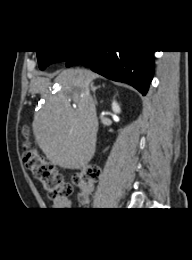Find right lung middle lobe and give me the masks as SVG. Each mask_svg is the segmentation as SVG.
I'll return each mask as SVG.
<instances>
[{
  "mask_svg": "<svg viewBox=\"0 0 192 260\" xmlns=\"http://www.w3.org/2000/svg\"><path fill=\"white\" fill-rule=\"evenodd\" d=\"M39 67L44 70L48 65L66 61L73 51H36Z\"/></svg>",
  "mask_w": 192,
  "mask_h": 260,
  "instance_id": "1",
  "label": "right lung middle lobe"
}]
</instances>
